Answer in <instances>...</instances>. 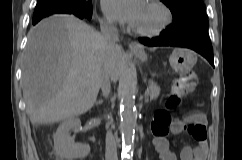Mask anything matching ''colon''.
Segmentation results:
<instances>
[{
  "label": "colon",
  "mask_w": 242,
  "mask_h": 160,
  "mask_svg": "<svg viewBox=\"0 0 242 160\" xmlns=\"http://www.w3.org/2000/svg\"><path fill=\"white\" fill-rule=\"evenodd\" d=\"M196 74L189 73L177 78L172 85V88L166 98V106L168 109H176L180 106L182 98L193 89L196 84ZM171 115L165 111H159L154 117L152 123V131L156 134L166 133L168 126L171 123ZM193 137L197 140L205 137L204 130L201 125H196L193 129Z\"/></svg>",
  "instance_id": "colon-1"
}]
</instances>
